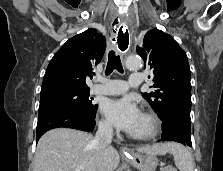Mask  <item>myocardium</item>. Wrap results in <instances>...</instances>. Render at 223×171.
Here are the masks:
<instances>
[{
  "instance_id": "f54148a6",
  "label": "myocardium",
  "mask_w": 223,
  "mask_h": 171,
  "mask_svg": "<svg viewBox=\"0 0 223 171\" xmlns=\"http://www.w3.org/2000/svg\"><path fill=\"white\" fill-rule=\"evenodd\" d=\"M144 118H146L150 123V131L146 134L142 135H133L130 134L129 137L138 140V141H147L155 138L161 129V122L156 114L153 112L145 111L141 114Z\"/></svg>"
}]
</instances>
